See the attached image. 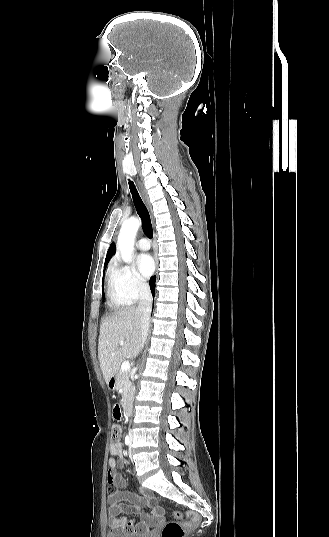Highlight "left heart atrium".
I'll list each match as a JSON object with an SVG mask.
<instances>
[{
    "label": "left heart atrium",
    "instance_id": "left-heart-atrium-1",
    "mask_svg": "<svg viewBox=\"0 0 329 537\" xmlns=\"http://www.w3.org/2000/svg\"><path fill=\"white\" fill-rule=\"evenodd\" d=\"M136 263L140 274L144 278L150 277L155 268L153 257L149 254H140L137 257Z\"/></svg>",
    "mask_w": 329,
    "mask_h": 537
}]
</instances>
